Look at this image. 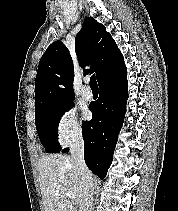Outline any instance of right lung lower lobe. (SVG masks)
Wrapping results in <instances>:
<instances>
[{
	"label": "right lung lower lobe",
	"instance_id": "right-lung-lower-lobe-1",
	"mask_svg": "<svg viewBox=\"0 0 178 211\" xmlns=\"http://www.w3.org/2000/svg\"><path fill=\"white\" fill-rule=\"evenodd\" d=\"M126 75L124 69L99 84V98L90 108L93 118L82 123L85 162L100 179H104L113 160L118 133L124 121L128 98ZM68 151V148L62 150L63 153Z\"/></svg>",
	"mask_w": 178,
	"mask_h": 211
}]
</instances>
